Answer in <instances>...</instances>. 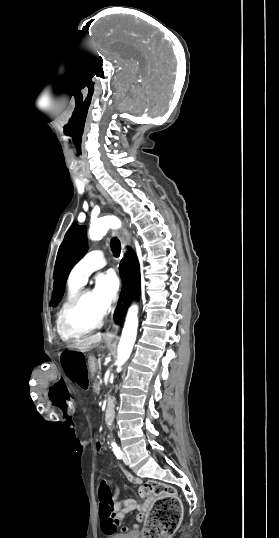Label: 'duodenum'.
I'll return each mask as SVG.
<instances>
[{"label":"duodenum","mask_w":279,"mask_h":538,"mask_svg":"<svg viewBox=\"0 0 279 538\" xmlns=\"http://www.w3.org/2000/svg\"><path fill=\"white\" fill-rule=\"evenodd\" d=\"M91 372L93 374H96L98 372V366L96 364H93L91 366ZM113 402H114V399L112 397H109L107 399V401L103 402V405L106 406L105 413L107 414V418H112V410L111 409L113 408V405H112ZM107 422H109L107 424V427L109 429H112L114 427V424L112 422H110V419H107Z\"/></svg>","instance_id":"1"}]
</instances>
